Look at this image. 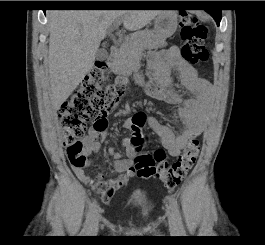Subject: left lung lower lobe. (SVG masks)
Wrapping results in <instances>:
<instances>
[{"label":"left lung lower lobe","instance_id":"1","mask_svg":"<svg viewBox=\"0 0 265 245\" xmlns=\"http://www.w3.org/2000/svg\"><path fill=\"white\" fill-rule=\"evenodd\" d=\"M209 14L212 15V17L215 19L217 25H219L221 21V10L220 9H210L206 10Z\"/></svg>","mask_w":265,"mask_h":245}]
</instances>
